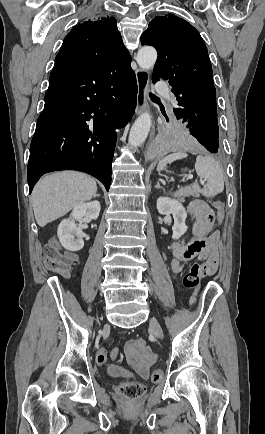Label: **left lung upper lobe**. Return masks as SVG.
Returning <instances> with one entry per match:
<instances>
[{"label": "left lung upper lobe", "instance_id": "left-lung-upper-lobe-1", "mask_svg": "<svg viewBox=\"0 0 265 434\" xmlns=\"http://www.w3.org/2000/svg\"><path fill=\"white\" fill-rule=\"evenodd\" d=\"M142 45L157 49L153 82L169 80L187 128L217 129L216 90L205 43L187 21L173 14L155 17L141 36Z\"/></svg>", "mask_w": 265, "mask_h": 434}]
</instances>
